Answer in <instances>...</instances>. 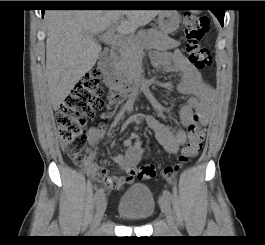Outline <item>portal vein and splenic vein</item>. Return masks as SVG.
Masks as SVG:
<instances>
[{"instance_id":"1","label":"portal vein and splenic vein","mask_w":265,"mask_h":245,"mask_svg":"<svg viewBox=\"0 0 265 245\" xmlns=\"http://www.w3.org/2000/svg\"><path fill=\"white\" fill-rule=\"evenodd\" d=\"M99 39L107 44L112 45H125L130 43V38L126 37L125 34H115L114 28L108 29L104 34L99 36Z\"/></svg>"}]
</instances>
